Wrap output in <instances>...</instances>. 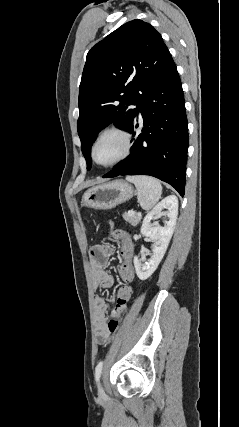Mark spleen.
<instances>
[{
	"instance_id": "obj_1",
	"label": "spleen",
	"mask_w": 239,
	"mask_h": 427,
	"mask_svg": "<svg viewBox=\"0 0 239 427\" xmlns=\"http://www.w3.org/2000/svg\"><path fill=\"white\" fill-rule=\"evenodd\" d=\"M126 180L135 185L138 202L144 210L152 209L160 200L162 186L157 179L150 176H128Z\"/></svg>"
}]
</instances>
